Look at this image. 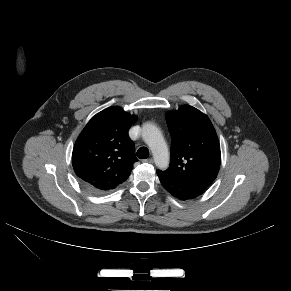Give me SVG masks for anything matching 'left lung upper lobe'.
Masks as SVG:
<instances>
[{"instance_id": "obj_1", "label": "left lung upper lobe", "mask_w": 291, "mask_h": 291, "mask_svg": "<svg viewBox=\"0 0 291 291\" xmlns=\"http://www.w3.org/2000/svg\"><path fill=\"white\" fill-rule=\"evenodd\" d=\"M172 136L171 162L164 174L205 190L217 177L221 153L210 119L184 105L166 114Z\"/></svg>"}]
</instances>
